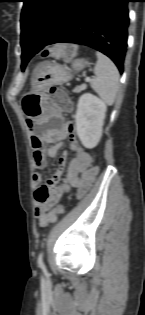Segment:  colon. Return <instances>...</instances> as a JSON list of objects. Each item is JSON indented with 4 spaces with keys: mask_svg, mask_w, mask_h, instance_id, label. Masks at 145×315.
Returning a JSON list of instances; mask_svg holds the SVG:
<instances>
[{
    "mask_svg": "<svg viewBox=\"0 0 145 315\" xmlns=\"http://www.w3.org/2000/svg\"><path fill=\"white\" fill-rule=\"evenodd\" d=\"M78 48L73 44H62L55 46L49 50H45L43 56H54L65 60H70L77 55ZM52 103L61 110L67 111L71 109V100L67 93L61 89L54 88L49 94ZM63 206L59 205L55 209L48 212L43 221V227L54 223L57 217L63 213Z\"/></svg>",
    "mask_w": 145,
    "mask_h": 315,
    "instance_id": "1",
    "label": "colon"
}]
</instances>
